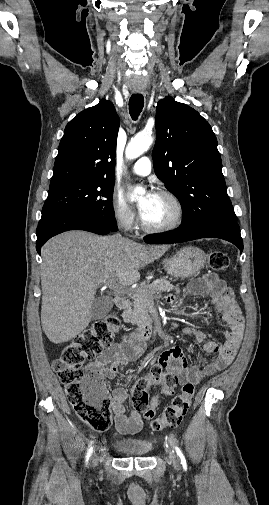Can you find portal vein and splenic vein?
Listing matches in <instances>:
<instances>
[{
    "instance_id": "18ae733b",
    "label": "portal vein and splenic vein",
    "mask_w": 269,
    "mask_h": 505,
    "mask_svg": "<svg viewBox=\"0 0 269 505\" xmlns=\"http://www.w3.org/2000/svg\"><path fill=\"white\" fill-rule=\"evenodd\" d=\"M107 286L111 289V290H114L115 292H118V293H124L126 292V288L121 286V285H118V284H115V282L113 283H109L107 284Z\"/></svg>"
}]
</instances>
